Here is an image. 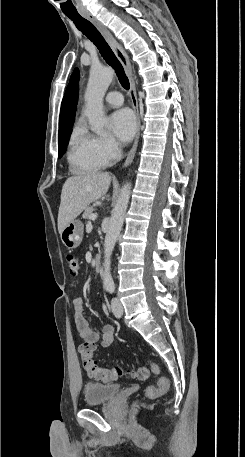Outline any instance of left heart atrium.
<instances>
[{
    "mask_svg": "<svg viewBox=\"0 0 245 457\" xmlns=\"http://www.w3.org/2000/svg\"><path fill=\"white\" fill-rule=\"evenodd\" d=\"M110 122L115 135L122 142L129 141L136 130V119L134 114L128 109L116 111L110 117Z\"/></svg>",
    "mask_w": 245,
    "mask_h": 457,
    "instance_id": "left-heart-atrium-1",
    "label": "left heart atrium"
}]
</instances>
